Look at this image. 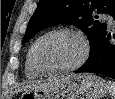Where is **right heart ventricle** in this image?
<instances>
[{
  "label": "right heart ventricle",
  "mask_w": 115,
  "mask_h": 99,
  "mask_svg": "<svg viewBox=\"0 0 115 99\" xmlns=\"http://www.w3.org/2000/svg\"><path fill=\"white\" fill-rule=\"evenodd\" d=\"M25 75L30 78L34 79L39 77L41 74L34 68L31 60V49L28 51L26 60H25Z\"/></svg>",
  "instance_id": "1"
}]
</instances>
